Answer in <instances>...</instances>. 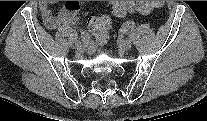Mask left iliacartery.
Returning a JSON list of instances; mask_svg holds the SVG:
<instances>
[{"label":"left iliac artery","instance_id":"44dca946","mask_svg":"<svg viewBox=\"0 0 207 121\" xmlns=\"http://www.w3.org/2000/svg\"><path fill=\"white\" fill-rule=\"evenodd\" d=\"M132 26H133V23L130 20H127L125 24L120 28L119 35L121 37H124L127 34V32L131 29Z\"/></svg>","mask_w":207,"mask_h":121}]
</instances>
